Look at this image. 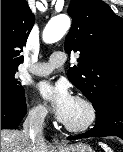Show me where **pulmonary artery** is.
I'll list each match as a JSON object with an SVG mask.
<instances>
[{
  "instance_id": "obj_1",
  "label": "pulmonary artery",
  "mask_w": 123,
  "mask_h": 152,
  "mask_svg": "<svg viewBox=\"0 0 123 152\" xmlns=\"http://www.w3.org/2000/svg\"><path fill=\"white\" fill-rule=\"evenodd\" d=\"M65 61V54L57 51L51 54L48 62L36 63L30 67L29 71L36 76H45L50 74L55 68L62 66Z\"/></svg>"
}]
</instances>
